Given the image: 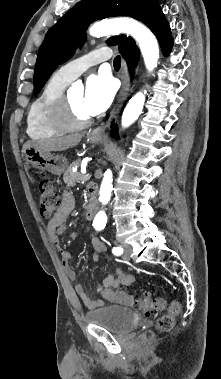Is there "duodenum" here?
Here are the masks:
<instances>
[{
  "mask_svg": "<svg viewBox=\"0 0 221 379\" xmlns=\"http://www.w3.org/2000/svg\"><path fill=\"white\" fill-rule=\"evenodd\" d=\"M90 200L86 210L87 218H92L98 208V199L96 195V189L93 185L89 187Z\"/></svg>",
  "mask_w": 221,
  "mask_h": 379,
  "instance_id": "obj_1",
  "label": "duodenum"
}]
</instances>
